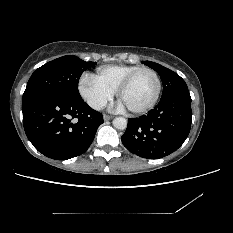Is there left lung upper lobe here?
<instances>
[{
    "label": "left lung upper lobe",
    "instance_id": "1",
    "mask_svg": "<svg viewBox=\"0 0 233 233\" xmlns=\"http://www.w3.org/2000/svg\"><path fill=\"white\" fill-rule=\"evenodd\" d=\"M142 63L154 69L160 75L163 83L161 100L177 92L188 90L185 81L172 70L151 61H144Z\"/></svg>",
    "mask_w": 233,
    "mask_h": 233
}]
</instances>
